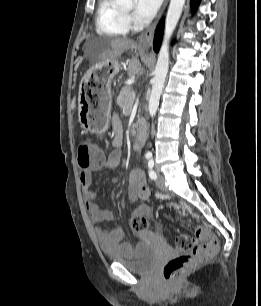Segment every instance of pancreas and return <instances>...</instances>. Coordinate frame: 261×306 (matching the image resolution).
I'll return each mask as SVG.
<instances>
[{"label": "pancreas", "mask_w": 261, "mask_h": 306, "mask_svg": "<svg viewBox=\"0 0 261 306\" xmlns=\"http://www.w3.org/2000/svg\"><path fill=\"white\" fill-rule=\"evenodd\" d=\"M133 93L134 91L131 86H125L121 89L117 97V104L121 109L125 110L131 108L135 99Z\"/></svg>", "instance_id": "obj_1"}]
</instances>
